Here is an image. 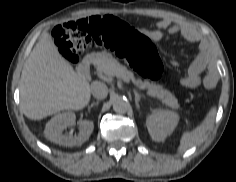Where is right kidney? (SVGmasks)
<instances>
[{
  "instance_id": "ca27d5eb",
  "label": "right kidney",
  "mask_w": 236,
  "mask_h": 182,
  "mask_svg": "<svg viewBox=\"0 0 236 182\" xmlns=\"http://www.w3.org/2000/svg\"><path fill=\"white\" fill-rule=\"evenodd\" d=\"M76 117L72 112H63L55 115L45 127V137L56 144L62 146H79L87 141L94 129V124L91 121L83 120L78 123L80 129L79 133L64 134L63 131L67 127L75 124Z\"/></svg>"
}]
</instances>
